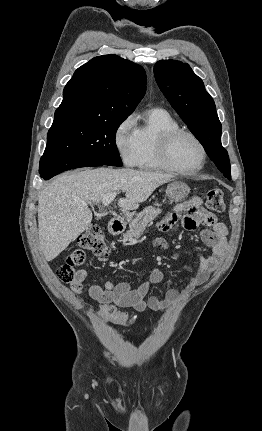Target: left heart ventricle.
<instances>
[{
	"label": "left heart ventricle",
	"instance_id": "1",
	"mask_svg": "<svg viewBox=\"0 0 262 431\" xmlns=\"http://www.w3.org/2000/svg\"><path fill=\"white\" fill-rule=\"evenodd\" d=\"M171 158L180 168L191 171L200 164L201 151L193 139L180 135L172 143Z\"/></svg>",
	"mask_w": 262,
	"mask_h": 431
}]
</instances>
